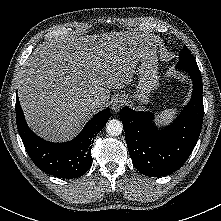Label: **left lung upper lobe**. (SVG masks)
Wrapping results in <instances>:
<instances>
[{
	"label": "left lung upper lobe",
	"mask_w": 221,
	"mask_h": 221,
	"mask_svg": "<svg viewBox=\"0 0 221 221\" xmlns=\"http://www.w3.org/2000/svg\"><path fill=\"white\" fill-rule=\"evenodd\" d=\"M176 67L188 72L200 73L193 55L185 45L183 46L182 51L179 53V62L177 63Z\"/></svg>",
	"instance_id": "5c2ea615"
}]
</instances>
